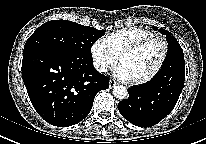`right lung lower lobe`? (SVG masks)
<instances>
[{"label": "right lung lower lobe", "instance_id": "right-lung-lower-lobe-1", "mask_svg": "<svg viewBox=\"0 0 206 144\" xmlns=\"http://www.w3.org/2000/svg\"><path fill=\"white\" fill-rule=\"evenodd\" d=\"M22 78L32 105L48 123L68 127L90 112L96 94L109 88V78L93 67V60L53 50L23 54Z\"/></svg>", "mask_w": 206, "mask_h": 144}]
</instances>
